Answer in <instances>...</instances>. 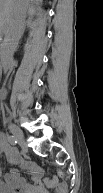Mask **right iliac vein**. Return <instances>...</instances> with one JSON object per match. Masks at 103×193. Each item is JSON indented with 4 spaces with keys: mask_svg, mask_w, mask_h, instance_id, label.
Wrapping results in <instances>:
<instances>
[{
    "mask_svg": "<svg viewBox=\"0 0 103 193\" xmlns=\"http://www.w3.org/2000/svg\"><path fill=\"white\" fill-rule=\"evenodd\" d=\"M9 129L11 133L15 136V138L20 142L24 143V135L23 132L15 125L9 124Z\"/></svg>",
    "mask_w": 103,
    "mask_h": 193,
    "instance_id": "1",
    "label": "right iliac vein"
}]
</instances>
